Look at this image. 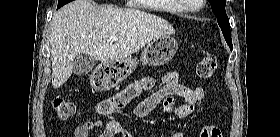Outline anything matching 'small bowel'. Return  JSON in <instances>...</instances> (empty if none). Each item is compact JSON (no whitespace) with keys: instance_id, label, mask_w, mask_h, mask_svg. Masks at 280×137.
Returning a JSON list of instances; mask_svg holds the SVG:
<instances>
[{"instance_id":"1","label":"small bowel","mask_w":280,"mask_h":137,"mask_svg":"<svg viewBox=\"0 0 280 137\" xmlns=\"http://www.w3.org/2000/svg\"><path fill=\"white\" fill-rule=\"evenodd\" d=\"M158 84H161V88L141 101L134 108V115L136 117L143 118L158 106H161L163 111L170 115L180 119L189 118L193 114L195 106L205 98V91L202 87L190 88L181 83L179 81V74L175 71L168 72L160 77H142L128 85L122 92L127 91L136 97L141 92L151 90ZM121 93L102 101L96 106V113L105 116L106 121H86L75 129L74 137H89L90 132L96 127L104 128L99 137H132L128 130L117 120L118 111L128 103L120 98ZM174 96L182 97L185 103L180 107H175ZM213 127L215 126H204L200 134L204 130ZM171 137H184V134L175 133Z\"/></svg>"}]
</instances>
